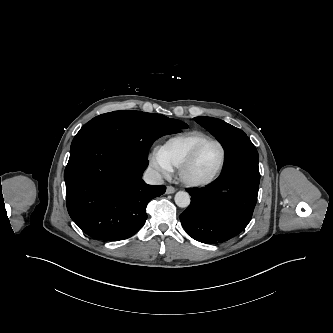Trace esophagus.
Segmentation results:
<instances>
[{
  "label": "esophagus",
  "instance_id": "34e87169",
  "mask_svg": "<svg viewBox=\"0 0 333 333\" xmlns=\"http://www.w3.org/2000/svg\"><path fill=\"white\" fill-rule=\"evenodd\" d=\"M176 189L172 186H167L166 188V194H173L175 193Z\"/></svg>",
  "mask_w": 333,
  "mask_h": 333
}]
</instances>
